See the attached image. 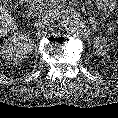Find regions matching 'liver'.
Instances as JSON below:
<instances>
[{"label":"liver","mask_w":118,"mask_h":118,"mask_svg":"<svg viewBox=\"0 0 118 118\" xmlns=\"http://www.w3.org/2000/svg\"><path fill=\"white\" fill-rule=\"evenodd\" d=\"M18 29V24L14 17L7 10V6L0 5V36H5L9 32H14Z\"/></svg>","instance_id":"obj_1"}]
</instances>
